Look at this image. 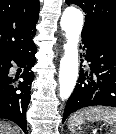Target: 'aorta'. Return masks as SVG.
I'll use <instances>...</instances> for the list:
<instances>
[{
    "label": "aorta",
    "instance_id": "762f6f07",
    "mask_svg": "<svg viewBox=\"0 0 116 134\" xmlns=\"http://www.w3.org/2000/svg\"><path fill=\"white\" fill-rule=\"evenodd\" d=\"M60 24L67 43L60 61L59 96L66 100L73 92L78 78V41L83 28V14L75 7H68L62 14Z\"/></svg>",
    "mask_w": 116,
    "mask_h": 134
}]
</instances>
